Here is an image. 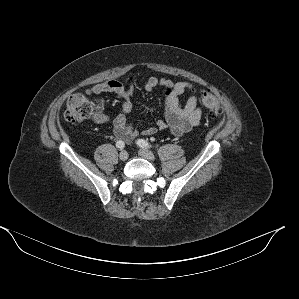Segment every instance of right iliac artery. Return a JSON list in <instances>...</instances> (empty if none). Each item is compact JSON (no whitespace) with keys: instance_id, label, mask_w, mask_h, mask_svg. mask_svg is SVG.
<instances>
[{"instance_id":"right-iliac-artery-1","label":"right iliac artery","mask_w":299,"mask_h":299,"mask_svg":"<svg viewBox=\"0 0 299 299\" xmlns=\"http://www.w3.org/2000/svg\"><path fill=\"white\" fill-rule=\"evenodd\" d=\"M116 147H117L118 149H123V148L125 147V144H124L123 141L118 140V141L116 142Z\"/></svg>"}]
</instances>
